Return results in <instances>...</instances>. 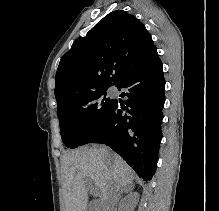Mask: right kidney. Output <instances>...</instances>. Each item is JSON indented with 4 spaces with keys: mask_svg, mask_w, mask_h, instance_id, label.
<instances>
[{
    "mask_svg": "<svg viewBox=\"0 0 219 211\" xmlns=\"http://www.w3.org/2000/svg\"><path fill=\"white\" fill-rule=\"evenodd\" d=\"M133 197H134V199H130V201L134 205V203H136V201H139L138 193H136V191H135V193H133Z\"/></svg>",
    "mask_w": 219,
    "mask_h": 211,
    "instance_id": "1",
    "label": "right kidney"
}]
</instances>
